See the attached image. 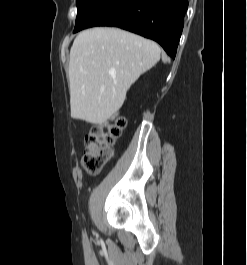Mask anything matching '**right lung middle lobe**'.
Instances as JSON below:
<instances>
[{
    "instance_id": "obj_1",
    "label": "right lung middle lobe",
    "mask_w": 247,
    "mask_h": 265,
    "mask_svg": "<svg viewBox=\"0 0 247 265\" xmlns=\"http://www.w3.org/2000/svg\"><path fill=\"white\" fill-rule=\"evenodd\" d=\"M99 0H76L77 2V17L75 26L84 18L88 11L98 2Z\"/></svg>"
}]
</instances>
